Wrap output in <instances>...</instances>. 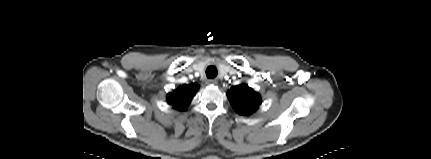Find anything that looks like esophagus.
<instances>
[{"mask_svg": "<svg viewBox=\"0 0 431 159\" xmlns=\"http://www.w3.org/2000/svg\"><path fill=\"white\" fill-rule=\"evenodd\" d=\"M207 84H209V85H216L217 84V80L216 79H209V80H207Z\"/></svg>", "mask_w": 431, "mask_h": 159, "instance_id": "obj_1", "label": "esophagus"}]
</instances>
